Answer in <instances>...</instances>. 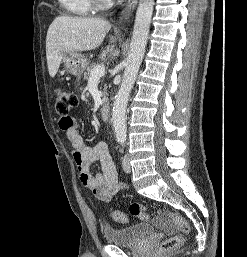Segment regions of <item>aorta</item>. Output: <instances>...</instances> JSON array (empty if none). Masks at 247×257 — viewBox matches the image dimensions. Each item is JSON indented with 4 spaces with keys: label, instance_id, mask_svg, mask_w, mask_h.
I'll return each instance as SVG.
<instances>
[{
    "label": "aorta",
    "instance_id": "1",
    "mask_svg": "<svg viewBox=\"0 0 247 257\" xmlns=\"http://www.w3.org/2000/svg\"><path fill=\"white\" fill-rule=\"evenodd\" d=\"M153 7L154 0H139L125 70L112 109L114 132L118 140L126 138L127 104L145 53Z\"/></svg>",
    "mask_w": 247,
    "mask_h": 257
}]
</instances>
